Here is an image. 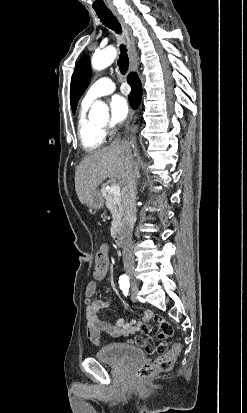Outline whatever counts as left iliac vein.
Here are the masks:
<instances>
[{"mask_svg": "<svg viewBox=\"0 0 247 413\" xmlns=\"http://www.w3.org/2000/svg\"><path fill=\"white\" fill-rule=\"evenodd\" d=\"M131 299L133 302L137 301V292L135 291V289L132 290Z\"/></svg>", "mask_w": 247, "mask_h": 413, "instance_id": "left-iliac-vein-1", "label": "left iliac vein"}]
</instances>
